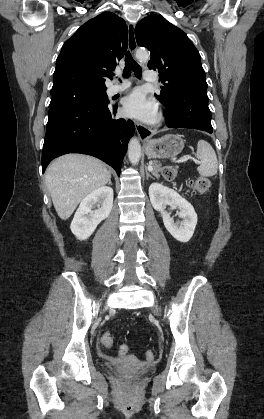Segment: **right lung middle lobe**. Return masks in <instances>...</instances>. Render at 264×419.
I'll return each instance as SVG.
<instances>
[{
  "label": "right lung middle lobe",
  "instance_id": "right-lung-middle-lobe-1",
  "mask_svg": "<svg viewBox=\"0 0 264 419\" xmlns=\"http://www.w3.org/2000/svg\"><path fill=\"white\" fill-rule=\"evenodd\" d=\"M87 100L107 104L108 97L104 89H75L62 92L52 97L51 104L60 101Z\"/></svg>",
  "mask_w": 264,
  "mask_h": 419
}]
</instances>
